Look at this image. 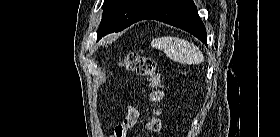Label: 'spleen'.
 <instances>
[{"label":"spleen","instance_id":"spleen-1","mask_svg":"<svg viewBox=\"0 0 280 137\" xmlns=\"http://www.w3.org/2000/svg\"><path fill=\"white\" fill-rule=\"evenodd\" d=\"M151 46L163 51L169 59L178 63L200 64L204 60V56L197 46L179 37L156 38L152 40Z\"/></svg>","mask_w":280,"mask_h":137}]
</instances>
